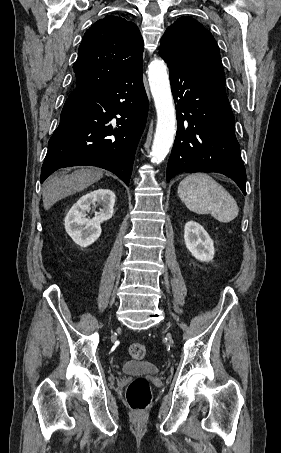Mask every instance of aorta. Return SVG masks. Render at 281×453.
<instances>
[{"mask_svg": "<svg viewBox=\"0 0 281 453\" xmlns=\"http://www.w3.org/2000/svg\"><path fill=\"white\" fill-rule=\"evenodd\" d=\"M148 81L157 112V125L154 134L151 162L159 164L174 142L176 114L171 93L167 66L161 59L153 60L148 66Z\"/></svg>", "mask_w": 281, "mask_h": 453, "instance_id": "762f6f07", "label": "aorta"}]
</instances>
